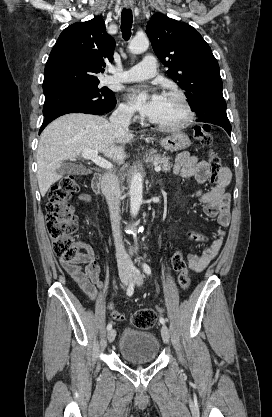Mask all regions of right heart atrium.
Listing matches in <instances>:
<instances>
[{
  "mask_svg": "<svg viewBox=\"0 0 272 417\" xmlns=\"http://www.w3.org/2000/svg\"><path fill=\"white\" fill-rule=\"evenodd\" d=\"M117 113L121 118L132 119L135 116L134 108L128 102H122L119 104Z\"/></svg>",
  "mask_w": 272,
  "mask_h": 417,
  "instance_id": "1",
  "label": "right heart atrium"
}]
</instances>
